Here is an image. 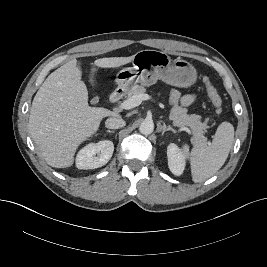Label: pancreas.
I'll list each match as a JSON object with an SVG mask.
<instances>
[{"label": "pancreas", "instance_id": "cf45deb5", "mask_svg": "<svg viewBox=\"0 0 267 267\" xmlns=\"http://www.w3.org/2000/svg\"><path fill=\"white\" fill-rule=\"evenodd\" d=\"M146 89L142 85H135L127 92V98H131L135 95L144 94ZM170 120L178 127H189L193 134L192 142L200 143L206 141L204 136L207 125V120L202 122L201 116L196 114H187L186 108L175 104L170 110Z\"/></svg>", "mask_w": 267, "mask_h": 267}]
</instances>
